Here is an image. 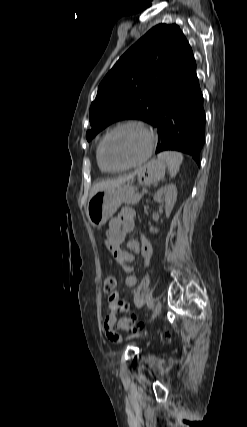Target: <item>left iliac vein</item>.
Returning <instances> with one entry per match:
<instances>
[{"label":"left iliac vein","mask_w":247,"mask_h":427,"mask_svg":"<svg viewBox=\"0 0 247 427\" xmlns=\"http://www.w3.org/2000/svg\"><path fill=\"white\" fill-rule=\"evenodd\" d=\"M161 309H162V303L160 301H158L154 307V310H153V316H152L153 319L159 315V313L161 312ZM132 337H134V335L131 336V338Z\"/></svg>","instance_id":"1"}]
</instances>
